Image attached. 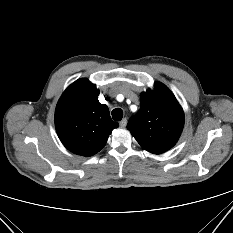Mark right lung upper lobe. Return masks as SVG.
Segmentation results:
<instances>
[{"label":"right lung upper lobe","mask_w":233,"mask_h":233,"mask_svg":"<svg viewBox=\"0 0 233 233\" xmlns=\"http://www.w3.org/2000/svg\"><path fill=\"white\" fill-rule=\"evenodd\" d=\"M99 90L87 79L72 83L62 94L55 111V127L63 145L71 152L92 156L99 152L119 125L108 107L99 103Z\"/></svg>","instance_id":"right-lung-upper-lobe-1"}]
</instances>
